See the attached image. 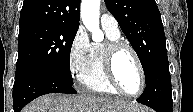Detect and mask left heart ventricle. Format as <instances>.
<instances>
[{"instance_id": "b2bd125f", "label": "left heart ventricle", "mask_w": 193, "mask_h": 112, "mask_svg": "<svg viewBox=\"0 0 193 112\" xmlns=\"http://www.w3.org/2000/svg\"><path fill=\"white\" fill-rule=\"evenodd\" d=\"M115 74L128 93H137L140 88V73L133 55L128 50H122L115 59Z\"/></svg>"}]
</instances>
